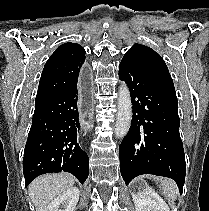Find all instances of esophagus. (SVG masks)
<instances>
[{"label": "esophagus", "instance_id": "obj_1", "mask_svg": "<svg viewBox=\"0 0 209 211\" xmlns=\"http://www.w3.org/2000/svg\"><path fill=\"white\" fill-rule=\"evenodd\" d=\"M89 72H91L90 64H83L82 74H79L81 93L76 102L77 108L80 109L79 117L82 130H91L92 121H95L94 112H91V109L94 108L93 93H90L95 90V87L92 77H89Z\"/></svg>", "mask_w": 209, "mask_h": 211}]
</instances>
